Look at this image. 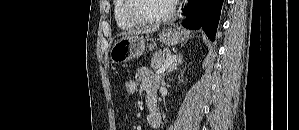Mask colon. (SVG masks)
<instances>
[{
  "label": "colon",
  "mask_w": 299,
  "mask_h": 130,
  "mask_svg": "<svg viewBox=\"0 0 299 130\" xmlns=\"http://www.w3.org/2000/svg\"><path fill=\"white\" fill-rule=\"evenodd\" d=\"M139 85L136 77H131L125 82V92L126 95L132 97L138 91Z\"/></svg>",
  "instance_id": "1"
}]
</instances>
